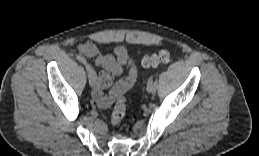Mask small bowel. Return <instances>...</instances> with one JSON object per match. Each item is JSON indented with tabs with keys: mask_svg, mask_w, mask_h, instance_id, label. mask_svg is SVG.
<instances>
[{
	"mask_svg": "<svg viewBox=\"0 0 259 156\" xmlns=\"http://www.w3.org/2000/svg\"><path fill=\"white\" fill-rule=\"evenodd\" d=\"M78 51L93 59L97 66L102 67L97 86L93 92V98L99 107H109L116 98L134 84L137 71L135 66L131 65L127 77L117 82L108 95L103 93L104 89L111 86L114 76L120 75L127 64V53L124 47L115 49L116 59L111 54L101 53L98 47L91 42L79 44Z\"/></svg>",
	"mask_w": 259,
	"mask_h": 156,
	"instance_id": "1",
	"label": "small bowel"
}]
</instances>
